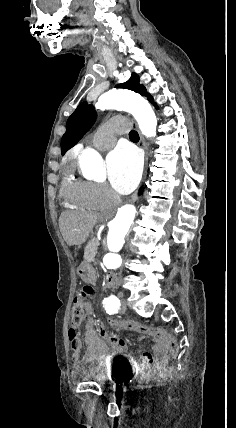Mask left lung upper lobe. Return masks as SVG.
<instances>
[{"mask_svg":"<svg viewBox=\"0 0 236 428\" xmlns=\"http://www.w3.org/2000/svg\"><path fill=\"white\" fill-rule=\"evenodd\" d=\"M116 87L135 91L146 96L148 100L153 103V98L147 93L146 88L139 83V77L136 73H133L128 81L118 84ZM154 105L156 106V104ZM95 117L96 113L92 105H88L87 102H82L78 105L77 109L68 118L66 132L61 139L62 155L77 144L83 135L90 129L95 121Z\"/></svg>","mask_w":236,"mask_h":428,"instance_id":"left-lung-upper-lobe-1","label":"left lung upper lobe"}]
</instances>
